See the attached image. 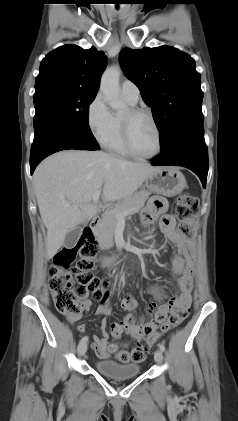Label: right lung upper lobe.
<instances>
[{
	"label": "right lung upper lobe",
	"mask_w": 238,
	"mask_h": 421,
	"mask_svg": "<svg viewBox=\"0 0 238 421\" xmlns=\"http://www.w3.org/2000/svg\"><path fill=\"white\" fill-rule=\"evenodd\" d=\"M106 64L104 52L94 47L61 46L42 60L35 88L56 85L96 93Z\"/></svg>",
	"instance_id": "right-lung-upper-lobe-1"
}]
</instances>
